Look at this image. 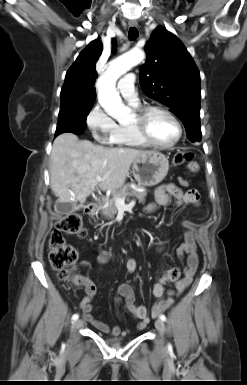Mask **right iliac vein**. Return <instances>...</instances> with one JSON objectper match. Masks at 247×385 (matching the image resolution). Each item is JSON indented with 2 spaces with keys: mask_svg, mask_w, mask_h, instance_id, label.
<instances>
[{
  "mask_svg": "<svg viewBox=\"0 0 247 385\" xmlns=\"http://www.w3.org/2000/svg\"><path fill=\"white\" fill-rule=\"evenodd\" d=\"M82 324H83V320H82V319L76 320V321L73 323L72 331H75L77 328L81 327Z\"/></svg>",
  "mask_w": 247,
  "mask_h": 385,
  "instance_id": "1",
  "label": "right iliac vein"
}]
</instances>
